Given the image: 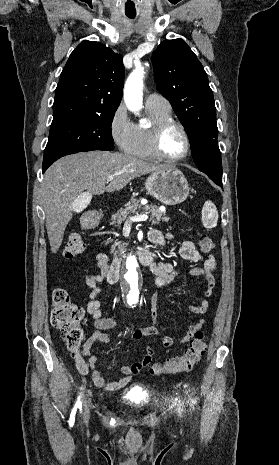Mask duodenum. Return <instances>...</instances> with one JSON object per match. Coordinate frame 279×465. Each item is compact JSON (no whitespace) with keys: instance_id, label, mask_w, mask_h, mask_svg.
Segmentation results:
<instances>
[{"instance_id":"1","label":"duodenum","mask_w":279,"mask_h":465,"mask_svg":"<svg viewBox=\"0 0 279 465\" xmlns=\"http://www.w3.org/2000/svg\"><path fill=\"white\" fill-rule=\"evenodd\" d=\"M98 223L97 217H88L85 221V224L88 227H93ZM125 256V251L122 250L119 252V256L114 260L111 265L109 272V283L115 284L119 281L120 270L122 264V258ZM138 260L143 265H150L153 262V256L151 253V248L149 245H143L140 250L137 252Z\"/></svg>"}]
</instances>
